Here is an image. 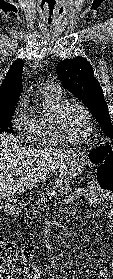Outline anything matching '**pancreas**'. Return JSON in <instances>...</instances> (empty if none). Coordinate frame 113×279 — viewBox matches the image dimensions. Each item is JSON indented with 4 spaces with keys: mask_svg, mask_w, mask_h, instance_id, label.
Here are the masks:
<instances>
[{
    "mask_svg": "<svg viewBox=\"0 0 113 279\" xmlns=\"http://www.w3.org/2000/svg\"><path fill=\"white\" fill-rule=\"evenodd\" d=\"M71 190L72 189L67 186L66 182L62 179H56L54 185L49 189H45V192L38 197L35 205L41 206L47 199V196H57L58 194H65L68 196Z\"/></svg>",
    "mask_w": 113,
    "mask_h": 279,
    "instance_id": "obj_1",
    "label": "pancreas"
}]
</instances>
